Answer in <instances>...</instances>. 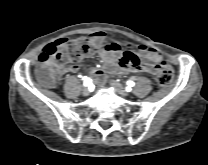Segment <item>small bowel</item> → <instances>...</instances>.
<instances>
[{
    "label": "small bowel",
    "instance_id": "small-bowel-1",
    "mask_svg": "<svg viewBox=\"0 0 208 165\" xmlns=\"http://www.w3.org/2000/svg\"><path fill=\"white\" fill-rule=\"evenodd\" d=\"M89 39L95 45V50L92 54L98 53L103 60L102 68L88 64L85 69L91 72L95 79L100 81L105 78L107 73L119 71L121 73L129 72H144L151 75L157 73L159 53L146 45L139 46L137 51L122 52L121 44L117 42H108V34L105 31H95L90 34ZM131 52L135 59H125V53ZM141 57L150 60L151 62H142ZM78 66H70L62 71V73L76 72Z\"/></svg>",
    "mask_w": 208,
    "mask_h": 165
}]
</instances>
